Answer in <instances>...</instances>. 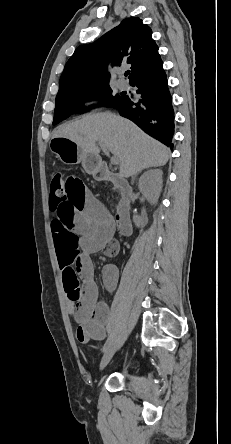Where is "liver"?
Returning <instances> with one entry per match:
<instances>
[{"label": "liver", "instance_id": "1", "mask_svg": "<svg viewBox=\"0 0 231 444\" xmlns=\"http://www.w3.org/2000/svg\"><path fill=\"white\" fill-rule=\"evenodd\" d=\"M53 137H65L85 152L99 156L103 143L118 158L120 175L129 177L150 167L163 166L170 157L164 144L145 134L131 121L112 113L84 116L57 127Z\"/></svg>", "mask_w": 231, "mask_h": 444}]
</instances>
